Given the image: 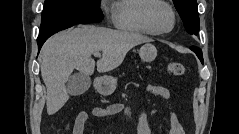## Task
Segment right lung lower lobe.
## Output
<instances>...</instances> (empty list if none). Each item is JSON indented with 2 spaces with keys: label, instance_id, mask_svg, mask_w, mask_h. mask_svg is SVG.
<instances>
[{
  "label": "right lung lower lobe",
  "instance_id": "obj_1",
  "mask_svg": "<svg viewBox=\"0 0 239 134\" xmlns=\"http://www.w3.org/2000/svg\"><path fill=\"white\" fill-rule=\"evenodd\" d=\"M72 26H73V25H72ZM69 27H71V26H69ZM69 27H66V28H69ZM66 28H63V29H61V30H64V29H66ZM59 31H60V30H59ZM57 32H58V31H57ZM54 33H56V32H54ZM54 33H51V34H49V35H47V36H45V37H42V38H38V39H37L38 49H39V50L41 49L43 43H44L51 35H53Z\"/></svg>",
  "mask_w": 239,
  "mask_h": 134
}]
</instances>
